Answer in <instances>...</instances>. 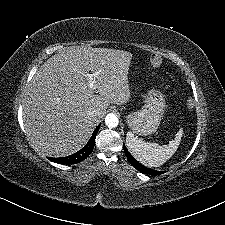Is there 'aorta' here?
<instances>
[{"instance_id":"obj_1","label":"aorta","mask_w":225,"mask_h":225,"mask_svg":"<svg viewBox=\"0 0 225 225\" xmlns=\"http://www.w3.org/2000/svg\"><path fill=\"white\" fill-rule=\"evenodd\" d=\"M118 123H119V120L115 114L110 113L105 117V124L109 128H114L118 126Z\"/></svg>"}]
</instances>
